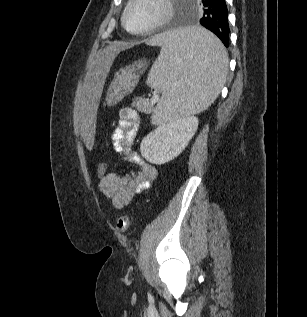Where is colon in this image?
Instances as JSON below:
<instances>
[{
    "label": "colon",
    "mask_w": 307,
    "mask_h": 317,
    "mask_svg": "<svg viewBox=\"0 0 307 317\" xmlns=\"http://www.w3.org/2000/svg\"><path fill=\"white\" fill-rule=\"evenodd\" d=\"M107 164L99 162L96 166V174L99 178H102L107 173ZM129 227V218L127 215H121L116 221V230L120 233H125Z\"/></svg>",
    "instance_id": "obj_1"
}]
</instances>
